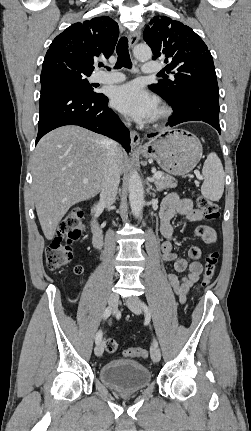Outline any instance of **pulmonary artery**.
<instances>
[{"label":"pulmonary artery","instance_id":"obj_1","mask_svg":"<svg viewBox=\"0 0 251 431\" xmlns=\"http://www.w3.org/2000/svg\"><path fill=\"white\" fill-rule=\"evenodd\" d=\"M162 66L157 62H146L143 65V73L151 74L160 71ZM124 80V76L118 72H110V73H99L97 75V81L101 83H118Z\"/></svg>","mask_w":251,"mask_h":431}]
</instances>
